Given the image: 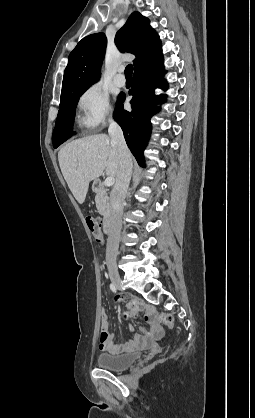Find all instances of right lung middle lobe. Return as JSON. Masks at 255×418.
Listing matches in <instances>:
<instances>
[{"label":"right lung middle lobe","mask_w":255,"mask_h":418,"mask_svg":"<svg viewBox=\"0 0 255 418\" xmlns=\"http://www.w3.org/2000/svg\"><path fill=\"white\" fill-rule=\"evenodd\" d=\"M87 88L76 89L61 94L59 112L52 135L54 148H57L74 134L73 121L75 118L76 106L80 96Z\"/></svg>","instance_id":"right-lung-middle-lobe-1"}]
</instances>
